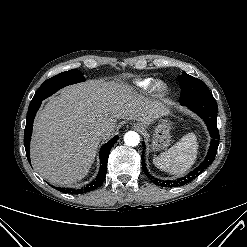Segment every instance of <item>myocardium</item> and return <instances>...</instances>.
I'll return each instance as SVG.
<instances>
[{"label":"myocardium","instance_id":"myocardium-1","mask_svg":"<svg viewBox=\"0 0 247 247\" xmlns=\"http://www.w3.org/2000/svg\"><path fill=\"white\" fill-rule=\"evenodd\" d=\"M152 89L157 94H163L167 91V85L161 80H156L152 84Z\"/></svg>","mask_w":247,"mask_h":247}]
</instances>
